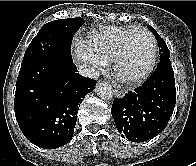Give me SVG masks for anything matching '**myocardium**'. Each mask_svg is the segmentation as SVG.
<instances>
[{"label": "myocardium", "mask_w": 196, "mask_h": 166, "mask_svg": "<svg viewBox=\"0 0 196 166\" xmlns=\"http://www.w3.org/2000/svg\"><path fill=\"white\" fill-rule=\"evenodd\" d=\"M137 32H143V33L147 34V36L150 38L151 47H152L151 59H150L149 64L147 65V67L141 73H139L138 75H135L133 77H130V78H125L120 75L119 66L128 51L129 42H130L132 36ZM157 57H158V46H157V42H156L154 35L146 28H143V27L134 28L124 38L122 45L113 60V70H114L116 77L119 80H121L122 82H125L128 84L139 83V82L145 80L152 73V71L154 70L156 63H157Z\"/></svg>", "instance_id": "f54148a6"}]
</instances>
